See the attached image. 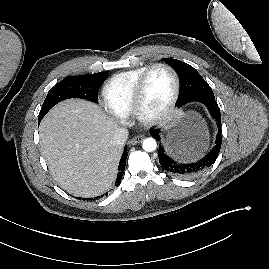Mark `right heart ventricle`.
Returning a JSON list of instances; mask_svg holds the SVG:
<instances>
[{
  "label": "right heart ventricle",
  "instance_id": "right-heart-ventricle-1",
  "mask_svg": "<svg viewBox=\"0 0 269 269\" xmlns=\"http://www.w3.org/2000/svg\"><path fill=\"white\" fill-rule=\"evenodd\" d=\"M148 66L137 67L112 76L103 87L105 104L115 115L126 117L132 113L136 84Z\"/></svg>",
  "mask_w": 269,
  "mask_h": 269
}]
</instances>
